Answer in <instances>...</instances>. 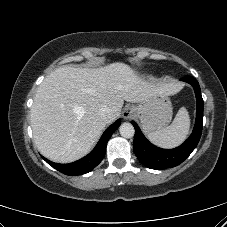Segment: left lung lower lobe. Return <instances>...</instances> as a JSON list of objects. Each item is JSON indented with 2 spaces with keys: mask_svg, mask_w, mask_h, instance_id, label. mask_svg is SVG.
Returning <instances> with one entry per match:
<instances>
[{
  "mask_svg": "<svg viewBox=\"0 0 227 227\" xmlns=\"http://www.w3.org/2000/svg\"><path fill=\"white\" fill-rule=\"evenodd\" d=\"M181 80L193 86L197 99L195 126L190 137L182 145L174 149L156 147L144 137L137 124L131 121L135 128L134 152L138 160L148 168L160 170L179 165L187 159L200 140L203 121V99L200 86L197 80L190 76L183 77Z\"/></svg>",
  "mask_w": 227,
  "mask_h": 227,
  "instance_id": "1",
  "label": "left lung lower lobe"
}]
</instances>
